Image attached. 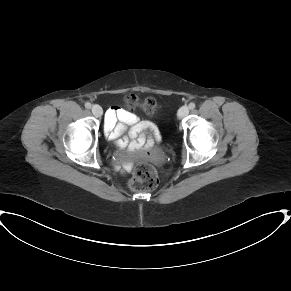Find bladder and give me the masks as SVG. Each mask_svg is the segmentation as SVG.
I'll return each mask as SVG.
<instances>
[{"label": "bladder", "mask_w": 291, "mask_h": 291, "mask_svg": "<svg viewBox=\"0 0 291 291\" xmlns=\"http://www.w3.org/2000/svg\"><path fill=\"white\" fill-rule=\"evenodd\" d=\"M140 129H150V124H148L142 118H133L127 124H125L120 131L119 135L124 137L125 135H132L133 133H138Z\"/></svg>", "instance_id": "1"}]
</instances>
